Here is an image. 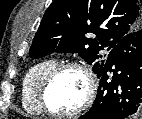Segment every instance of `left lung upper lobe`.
I'll use <instances>...</instances> for the list:
<instances>
[{"label":"left lung upper lobe","instance_id":"5c2ea615","mask_svg":"<svg viewBox=\"0 0 142 119\" xmlns=\"http://www.w3.org/2000/svg\"><path fill=\"white\" fill-rule=\"evenodd\" d=\"M141 26L138 0H54L29 53L35 58L54 52L78 53L98 75L105 64V60H98L102 57L99 52L103 48L111 50Z\"/></svg>","mask_w":142,"mask_h":119}]
</instances>
